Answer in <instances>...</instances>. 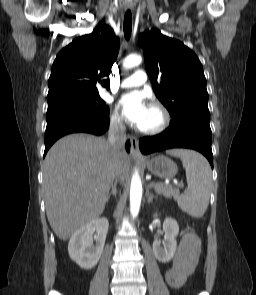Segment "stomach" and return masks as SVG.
Here are the masks:
<instances>
[{"instance_id": "0dacf381", "label": "stomach", "mask_w": 256, "mask_h": 295, "mask_svg": "<svg viewBox=\"0 0 256 295\" xmlns=\"http://www.w3.org/2000/svg\"><path fill=\"white\" fill-rule=\"evenodd\" d=\"M145 165L152 174L163 179L174 177L178 170L175 162L163 155L146 160Z\"/></svg>"}]
</instances>
